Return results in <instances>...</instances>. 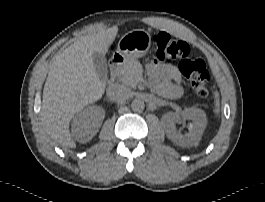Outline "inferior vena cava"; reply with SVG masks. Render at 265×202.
Here are the masks:
<instances>
[{
	"instance_id": "obj_1",
	"label": "inferior vena cava",
	"mask_w": 265,
	"mask_h": 202,
	"mask_svg": "<svg viewBox=\"0 0 265 202\" xmlns=\"http://www.w3.org/2000/svg\"><path fill=\"white\" fill-rule=\"evenodd\" d=\"M107 98L112 102L121 103L128 100L131 96V90L121 84H112L106 90Z\"/></svg>"
}]
</instances>
